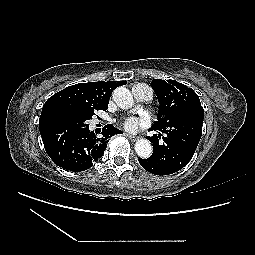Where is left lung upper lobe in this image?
<instances>
[{
	"instance_id": "1",
	"label": "left lung upper lobe",
	"mask_w": 255,
	"mask_h": 255,
	"mask_svg": "<svg viewBox=\"0 0 255 255\" xmlns=\"http://www.w3.org/2000/svg\"><path fill=\"white\" fill-rule=\"evenodd\" d=\"M151 86L159 102L158 120L154 124L157 127H169L175 121L191 118L203 110L198 95L182 83L154 79Z\"/></svg>"
}]
</instances>
